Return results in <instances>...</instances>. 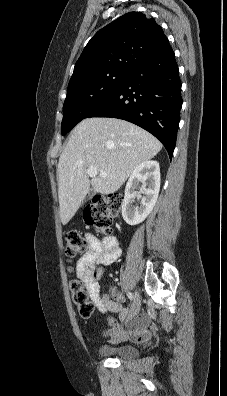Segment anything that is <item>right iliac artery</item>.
<instances>
[{
    "instance_id": "right-iliac-artery-1",
    "label": "right iliac artery",
    "mask_w": 227,
    "mask_h": 396,
    "mask_svg": "<svg viewBox=\"0 0 227 396\" xmlns=\"http://www.w3.org/2000/svg\"><path fill=\"white\" fill-rule=\"evenodd\" d=\"M127 296H128V298H129L130 300H132V299H133V295H132V293H131V292H128Z\"/></svg>"
}]
</instances>
